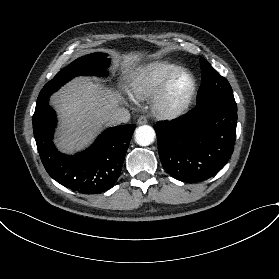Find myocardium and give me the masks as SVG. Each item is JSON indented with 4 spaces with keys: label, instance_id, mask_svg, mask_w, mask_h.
Returning a JSON list of instances; mask_svg holds the SVG:
<instances>
[{
    "label": "myocardium",
    "instance_id": "obj_1",
    "mask_svg": "<svg viewBox=\"0 0 279 279\" xmlns=\"http://www.w3.org/2000/svg\"><path fill=\"white\" fill-rule=\"evenodd\" d=\"M186 74L191 80V88L188 94L178 103H172L170 101V92L173 83L176 79ZM197 91V81L194 75L188 70H181L169 77L161 88L157 91L153 99V111L154 113L163 120H176L181 117L192 103Z\"/></svg>",
    "mask_w": 279,
    "mask_h": 279
}]
</instances>
